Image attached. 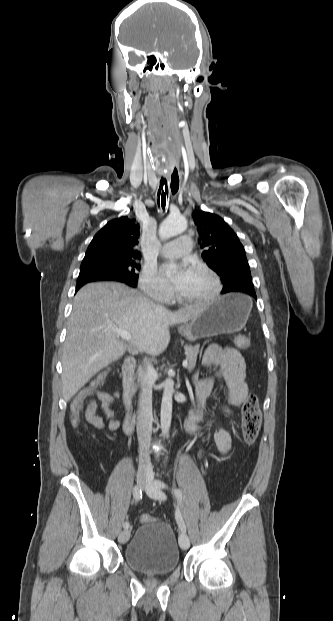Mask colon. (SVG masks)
Listing matches in <instances>:
<instances>
[{
  "label": "colon",
  "mask_w": 333,
  "mask_h": 621,
  "mask_svg": "<svg viewBox=\"0 0 333 621\" xmlns=\"http://www.w3.org/2000/svg\"><path fill=\"white\" fill-rule=\"evenodd\" d=\"M235 342L236 345L242 349H245L249 346V339L245 336H238ZM105 378L106 372H101L74 397L71 404V420L75 427H78L80 425V411L84 400L104 382ZM261 422L262 413L259 405V400L256 395L250 394L247 396L242 405L243 437L248 445H252L256 441L259 434ZM153 520L154 518L148 514H143L140 517L141 523H148Z\"/></svg>",
  "instance_id": "5ec220e1"
}]
</instances>
